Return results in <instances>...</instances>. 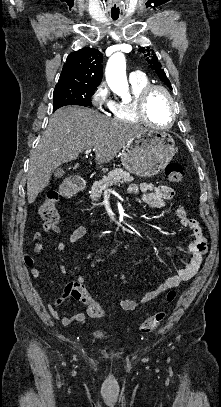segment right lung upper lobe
I'll return each mask as SVG.
<instances>
[{
    "mask_svg": "<svg viewBox=\"0 0 221 407\" xmlns=\"http://www.w3.org/2000/svg\"><path fill=\"white\" fill-rule=\"evenodd\" d=\"M102 61L103 55L97 49L85 47L72 52L67 57L56 87L69 85L97 87L103 75Z\"/></svg>",
    "mask_w": 221,
    "mask_h": 407,
    "instance_id": "right-lung-upper-lobe-1",
    "label": "right lung upper lobe"
}]
</instances>
